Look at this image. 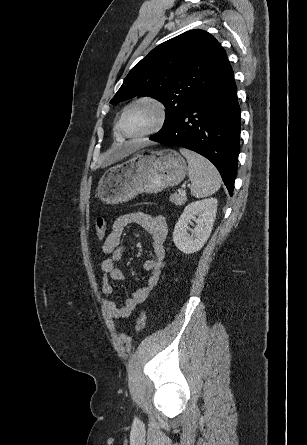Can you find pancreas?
Returning <instances> with one entry per match:
<instances>
[{"mask_svg": "<svg viewBox=\"0 0 307 445\" xmlns=\"http://www.w3.org/2000/svg\"><path fill=\"white\" fill-rule=\"evenodd\" d=\"M169 200H171V202H174L176 206H181V204H185L187 196H185V194H178V192H173V194H170Z\"/></svg>", "mask_w": 307, "mask_h": 445, "instance_id": "cf45deb5", "label": "pancreas"}]
</instances>
